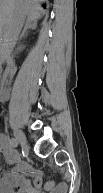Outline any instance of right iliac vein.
I'll list each match as a JSON object with an SVG mask.
<instances>
[{"instance_id": "right-iliac-vein-1", "label": "right iliac vein", "mask_w": 103, "mask_h": 193, "mask_svg": "<svg viewBox=\"0 0 103 193\" xmlns=\"http://www.w3.org/2000/svg\"><path fill=\"white\" fill-rule=\"evenodd\" d=\"M14 135L16 137V140L23 146L26 147L27 146V141H26V137L23 134L22 131L15 129L14 130Z\"/></svg>"}]
</instances>
